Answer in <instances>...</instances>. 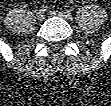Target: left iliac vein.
<instances>
[{"mask_svg":"<svg viewBox=\"0 0 111 106\" xmlns=\"http://www.w3.org/2000/svg\"><path fill=\"white\" fill-rule=\"evenodd\" d=\"M52 15L54 16H60L62 18H65L67 20H72L73 16L70 12H67V11H64V10H61V11H53L51 12Z\"/></svg>","mask_w":111,"mask_h":106,"instance_id":"1","label":"left iliac vein"}]
</instances>
